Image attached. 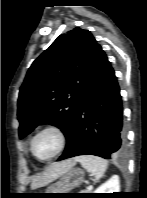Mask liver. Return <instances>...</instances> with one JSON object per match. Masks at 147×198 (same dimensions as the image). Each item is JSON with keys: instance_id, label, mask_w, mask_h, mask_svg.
Returning <instances> with one entry per match:
<instances>
[{"instance_id": "6515ba94", "label": "liver", "mask_w": 147, "mask_h": 198, "mask_svg": "<svg viewBox=\"0 0 147 198\" xmlns=\"http://www.w3.org/2000/svg\"><path fill=\"white\" fill-rule=\"evenodd\" d=\"M76 164V158L53 163L43 173L35 176L31 183V189L42 187L65 174Z\"/></svg>"}]
</instances>
